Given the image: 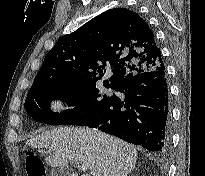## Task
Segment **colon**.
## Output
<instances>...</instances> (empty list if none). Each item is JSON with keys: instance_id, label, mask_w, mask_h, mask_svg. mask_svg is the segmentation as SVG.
<instances>
[{"instance_id": "5ec220e1", "label": "colon", "mask_w": 205, "mask_h": 176, "mask_svg": "<svg viewBox=\"0 0 205 176\" xmlns=\"http://www.w3.org/2000/svg\"><path fill=\"white\" fill-rule=\"evenodd\" d=\"M24 164L27 176H47L42 159L34 152L25 153Z\"/></svg>"}]
</instances>
